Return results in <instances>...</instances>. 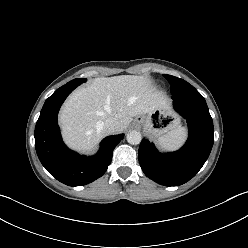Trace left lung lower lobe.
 I'll list each match as a JSON object with an SVG mask.
<instances>
[{"instance_id":"0a47b994","label":"left lung lower lobe","mask_w":248,"mask_h":248,"mask_svg":"<svg viewBox=\"0 0 248 248\" xmlns=\"http://www.w3.org/2000/svg\"><path fill=\"white\" fill-rule=\"evenodd\" d=\"M172 99L176 111L187 120V142L176 152L162 154L143 139L138 156L145 175L165 186L182 185L196 175L211 152L214 134L212 118L200 93Z\"/></svg>"}]
</instances>
